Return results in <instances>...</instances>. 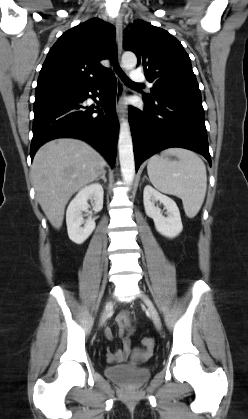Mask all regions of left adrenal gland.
I'll return each instance as SVG.
<instances>
[{
  "instance_id": "a2214340",
  "label": "left adrenal gland",
  "mask_w": 248,
  "mask_h": 419,
  "mask_svg": "<svg viewBox=\"0 0 248 419\" xmlns=\"http://www.w3.org/2000/svg\"><path fill=\"white\" fill-rule=\"evenodd\" d=\"M145 178L147 179V177H146V176H144L143 181H144V179H145Z\"/></svg>"
}]
</instances>
